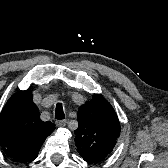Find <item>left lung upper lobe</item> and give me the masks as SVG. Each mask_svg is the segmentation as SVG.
I'll use <instances>...</instances> for the list:
<instances>
[{
    "instance_id": "1",
    "label": "left lung upper lobe",
    "mask_w": 168,
    "mask_h": 168,
    "mask_svg": "<svg viewBox=\"0 0 168 168\" xmlns=\"http://www.w3.org/2000/svg\"><path fill=\"white\" fill-rule=\"evenodd\" d=\"M75 130L77 151L87 162L102 161L114 148L120 123L113 107L101 95L79 108Z\"/></svg>"
}]
</instances>
